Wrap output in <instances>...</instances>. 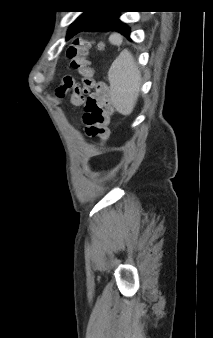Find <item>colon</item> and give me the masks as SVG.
<instances>
[{"label": "colon", "instance_id": "colon-1", "mask_svg": "<svg viewBox=\"0 0 213 338\" xmlns=\"http://www.w3.org/2000/svg\"><path fill=\"white\" fill-rule=\"evenodd\" d=\"M92 42L76 38L67 49L70 66L81 75V87L75 85L74 78L67 75L62 80L57 95L64 96L72 89V104L81 103V90L87 93L82 122L86 135L91 139H105L109 135V91L103 82H96V69L87 59Z\"/></svg>", "mask_w": 213, "mask_h": 338}]
</instances>
